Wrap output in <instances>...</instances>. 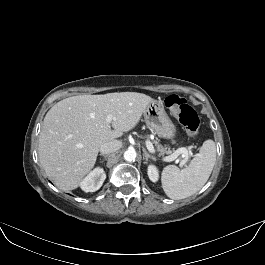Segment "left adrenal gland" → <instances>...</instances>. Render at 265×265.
<instances>
[{"label": "left adrenal gland", "mask_w": 265, "mask_h": 265, "mask_svg": "<svg viewBox=\"0 0 265 265\" xmlns=\"http://www.w3.org/2000/svg\"><path fill=\"white\" fill-rule=\"evenodd\" d=\"M143 153H144V159H145V162H144V163L147 164V161H148L149 158H151L152 160H156V158H155L153 155L149 154V153L146 151L145 148L143 149Z\"/></svg>", "instance_id": "1"}]
</instances>
